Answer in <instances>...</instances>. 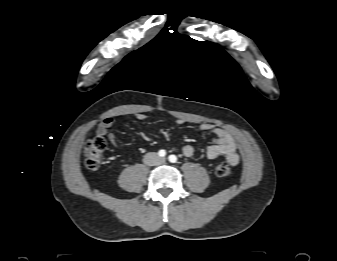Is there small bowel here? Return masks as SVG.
<instances>
[{
  "label": "small bowel",
  "mask_w": 337,
  "mask_h": 261,
  "mask_svg": "<svg viewBox=\"0 0 337 261\" xmlns=\"http://www.w3.org/2000/svg\"><path fill=\"white\" fill-rule=\"evenodd\" d=\"M137 120H145L147 116L144 113L135 114ZM178 124H183V120H178ZM114 125V118L106 117L103 119L98 127L97 134L102 137H107L112 143L116 142L115 134L110 132L111 127ZM199 129L208 132L214 136L213 142L207 147L206 155L209 159H216L224 156L229 164L237 165L239 163V155L237 153V144L233 136L225 129L214 126L210 123H202ZM182 152L186 157L193 156L195 150L190 144H186L182 148Z\"/></svg>",
  "instance_id": "c3829d8e"
}]
</instances>
